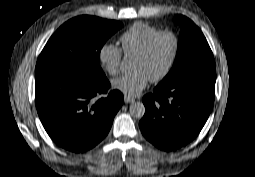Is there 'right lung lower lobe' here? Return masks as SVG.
Instances as JSON below:
<instances>
[{
	"label": "right lung lower lobe",
	"instance_id": "98d812e1",
	"mask_svg": "<svg viewBox=\"0 0 255 177\" xmlns=\"http://www.w3.org/2000/svg\"><path fill=\"white\" fill-rule=\"evenodd\" d=\"M110 87L105 74L74 76L63 73L36 78V108L51 139L60 147L83 152L96 146L109 132L123 104V94Z\"/></svg>",
	"mask_w": 255,
	"mask_h": 177
}]
</instances>
